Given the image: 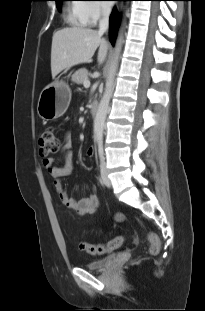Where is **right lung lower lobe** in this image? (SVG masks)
<instances>
[{"instance_id": "1", "label": "right lung lower lobe", "mask_w": 205, "mask_h": 311, "mask_svg": "<svg viewBox=\"0 0 205 311\" xmlns=\"http://www.w3.org/2000/svg\"><path fill=\"white\" fill-rule=\"evenodd\" d=\"M119 25H120V16L114 9L110 16V29H109V38L112 45L114 44Z\"/></svg>"}]
</instances>
